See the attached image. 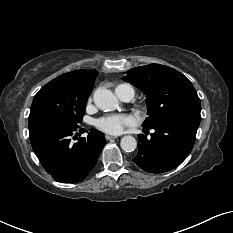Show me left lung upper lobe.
I'll use <instances>...</instances> for the list:
<instances>
[{"instance_id": "obj_1", "label": "left lung upper lobe", "mask_w": 233, "mask_h": 233, "mask_svg": "<svg viewBox=\"0 0 233 233\" xmlns=\"http://www.w3.org/2000/svg\"><path fill=\"white\" fill-rule=\"evenodd\" d=\"M124 81L147 95L148 115L143 126L165 119L201 120V103L192 83L180 72L164 65L149 64L132 68Z\"/></svg>"}]
</instances>
